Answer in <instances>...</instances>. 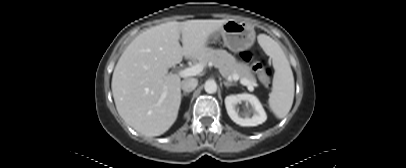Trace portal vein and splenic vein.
<instances>
[{
  "label": "portal vein and splenic vein",
  "mask_w": 406,
  "mask_h": 168,
  "mask_svg": "<svg viewBox=\"0 0 406 168\" xmlns=\"http://www.w3.org/2000/svg\"><path fill=\"white\" fill-rule=\"evenodd\" d=\"M203 68H204V64L199 63V64H196V65H194L192 67L185 68L184 70H181L179 72V75L181 77H184V78L190 77V76H196V75H198L199 73H201L203 71ZM231 79H233L234 81H237V80H239V76L237 74H234L231 77ZM240 82H241L242 85L248 86V89L250 91H253L254 86H256V84H250L249 81L246 80V79H243ZM165 96H166V91L163 93L162 98H165Z\"/></svg>",
  "instance_id": "1"
}]
</instances>
